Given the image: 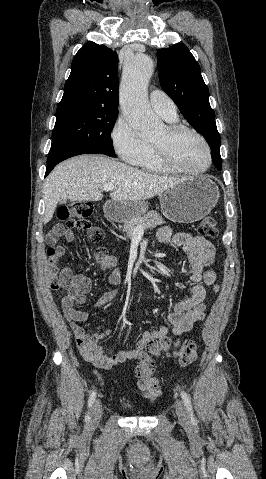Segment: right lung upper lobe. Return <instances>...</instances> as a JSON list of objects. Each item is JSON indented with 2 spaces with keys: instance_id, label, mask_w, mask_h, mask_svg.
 <instances>
[{
  "instance_id": "obj_1",
  "label": "right lung upper lobe",
  "mask_w": 266,
  "mask_h": 479,
  "mask_svg": "<svg viewBox=\"0 0 266 479\" xmlns=\"http://www.w3.org/2000/svg\"><path fill=\"white\" fill-rule=\"evenodd\" d=\"M118 56L104 45L87 42L77 52L56 114L118 112Z\"/></svg>"
}]
</instances>
